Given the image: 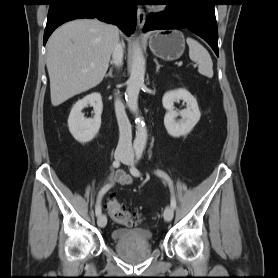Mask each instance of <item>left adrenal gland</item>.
<instances>
[{"label":"left adrenal gland","mask_w":278,"mask_h":278,"mask_svg":"<svg viewBox=\"0 0 278 278\" xmlns=\"http://www.w3.org/2000/svg\"><path fill=\"white\" fill-rule=\"evenodd\" d=\"M154 61L156 63V72H158L160 67H162V66L158 63V61L156 59H154Z\"/></svg>","instance_id":"obj_1"}]
</instances>
